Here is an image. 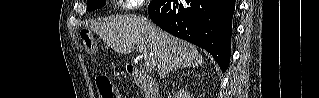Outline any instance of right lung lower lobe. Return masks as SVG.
<instances>
[{
	"label": "right lung lower lobe",
	"mask_w": 319,
	"mask_h": 98,
	"mask_svg": "<svg viewBox=\"0 0 319 98\" xmlns=\"http://www.w3.org/2000/svg\"><path fill=\"white\" fill-rule=\"evenodd\" d=\"M235 0H152L149 17L163 30L210 52L225 72Z\"/></svg>",
	"instance_id": "right-lung-lower-lobe-1"
}]
</instances>
